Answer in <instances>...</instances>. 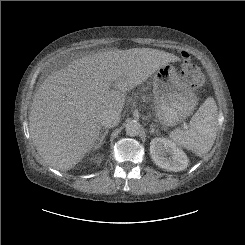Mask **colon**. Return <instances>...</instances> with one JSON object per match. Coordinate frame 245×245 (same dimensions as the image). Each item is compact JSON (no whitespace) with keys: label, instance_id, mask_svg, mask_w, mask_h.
<instances>
[{"label":"colon","instance_id":"1","mask_svg":"<svg viewBox=\"0 0 245 245\" xmlns=\"http://www.w3.org/2000/svg\"><path fill=\"white\" fill-rule=\"evenodd\" d=\"M181 76L194 92L200 91L205 84L203 73L188 52H182Z\"/></svg>","mask_w":245,"mask_h":245}]
</instances>
